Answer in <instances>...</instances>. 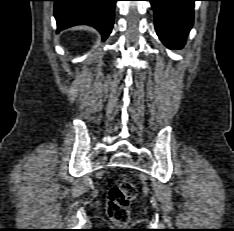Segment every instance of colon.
Listing matches in <instances>:
<instances>
[{
	"label": "colon",
	"mask_w": 234,
	"mask_h": 231,
	"mask_svg": "<svg viewBox=\"0 0 234 231\" xmlns=\"http://www.w3.org/2000/svg\"><path fill=\"white\" fill-rule=\"evenodd\" d=\"M136 197L135 186L127 180L109 189L106 210L109 218L121 226L129 221L128 206Z\"/></svg>",
	"instance_id": "colon-1"
}]
</instances>
